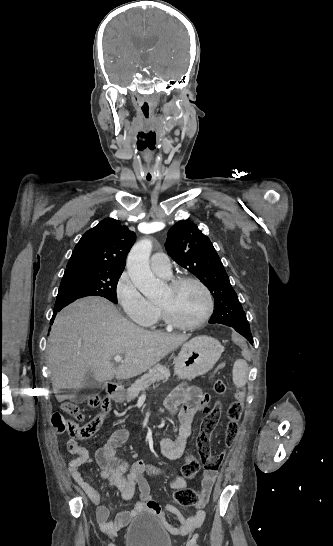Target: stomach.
Wrapping results in <instances>:
<instances>
[{
    "instance_id": "0dacf381",
    "label": "stomach",
    "mask_w": 333,
    "mask_h": 546,
    "mask_svg": "<svg viewBox=\"0 0 333 546\" xmlns=\"http://www.w3.org/2000/svg\"><path fill=\"white\" fill-rule=\"evenodd\" d=\"M223 352L220 342L208 335H199L186 342L175 359L179 379L192 380L209 372ZM122 398V394L117 396Z\"/></svg>"
}]
</instances>
